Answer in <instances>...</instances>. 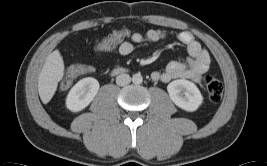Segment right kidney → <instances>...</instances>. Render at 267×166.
I'll list each match as a JSON object with an SVG mask.
<instances>
[{
	"label": "right kidney",
	"mask_w": 267,
	"mask_h": 166,
	"mask_svg": "<svg viewBox=\"0 0 267 166\" xmlns=\"http://www.w3.org/2000/svg\"><path fill=\"white\" fill-rule=\"evenodd\" d=\"M99 82L92 77L79 80L70 90L66 99V106L73 112L87 107L99 90Z\"/></svg>",
	"instance_id": "obj_1"
}]
</instances>
